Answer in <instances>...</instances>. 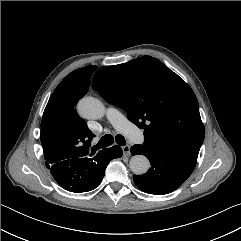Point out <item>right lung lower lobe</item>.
<instances>
[{
	"label": "right lung lower lobe",
	"instance_id": "right-lung-lower-lobe-1",
	"mask_svg": "<svg viewBox=\"0 0 241 241\" xmlns=\"http://www.w3.org/2000/svg\"><path fill=\"white\" fill-rule=\"evenodd\" d=\"M122 149L115 145L98 153H90L81 157H71L58 161L46 160L55 181L67 191L88 192L99 186L108 163L121 157Z\"/></svg>",
	"mask_w": 241,
	"mask_h": 241
}]
</instances>
